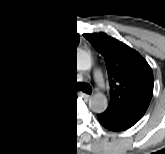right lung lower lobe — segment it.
<instances>
[{
    "label": "right lung lower lobe",
    "instance_id": "right-lung-lower-lobe-1",
    "mask_svg": "<svg viewBox=\"0 0 165 154\" xmlns=\"http://www.w3.org/2000/svg\"><path fill=\"white\" fill-rule=\"evenodd\" d=\"M75 99H77L75 92L66 91L17 116L31 131L42 133L51 132L62 125L68 107Z\"/></svg>",
    "mask_w": 165,
    "mask_h": 154
}]
</instances>
